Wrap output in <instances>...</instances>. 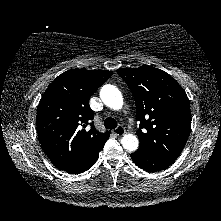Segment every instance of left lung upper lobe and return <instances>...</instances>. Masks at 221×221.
<instances>
[{
    "label": "left lung upper lobe",
    "mask_w": 221,
    "mask_h": 221,
    "mask_svg": "<svg viewBox=\"0 0 221 221\" xmlns=\"http://www.w3.org/2000/svg\"><path fill=\"white\" fill-rule=\"evenodd\" d=\"M136 102L140 153L176 159L191 129L189 99L183 88L163 70L152 66L118 69Z\"/></svg>",
    "instance_id": "5c2ea615"
}]
</instances>
